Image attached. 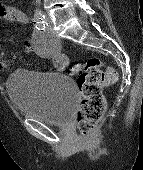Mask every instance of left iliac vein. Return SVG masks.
Returning a JSON list of instances; mask_svg holds the SVG:
<instances>
[{"label":"left iliac vein","mask_w":143,"mask_h":170,"mask_svg":"<svg viewBox=\"0 0 143 170\" xmlns=\"http://www.w3.org/2000/svg\"><path fill=\"white\" fill-rule=\"evenodd\" d=\"M46 21L48 22L49 25H51V18L49 16H46Z\"/></svg>","instance_id":"4c4485c4"}]
</instances>
